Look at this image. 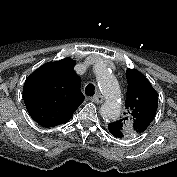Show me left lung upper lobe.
I'll list each match as a JSON object with an SVG mask.
<instances>
[{
    "mask_svg": "<svg viewBox=\"0 0 177 177\" xmlns=\"http://www.w3.org/2000/svg\"><path fill=\"white\" fill-rule=\"evenodd\" d=\"M126 78L125 117L111 124L122 132V137L131 138L142 135L153 121L158 107V93L137 70L127 69Z\"/></svg>",
    "mask_w": 177,
    "mask_h": 177,
    "instance_id": "5c2ea615",
    "label": "left lung upper lobe"
}]
</instances>
